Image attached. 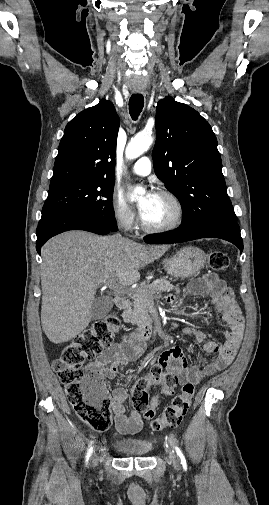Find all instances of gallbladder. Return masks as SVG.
Returning a JSON list of instances; mask_svg holds the SVG:
<instances>
[{"label":"gallbladder","mask_w":269,"mask_h":505,"mask_svg":"<svg viewBox=\"0 0 269 505\" xmlns=\"http://www.w3.org/2000/svg\"><path fill=\"white\" fill-rule=\"evenodd\" d=\"M113 301L110 297L101 296L94 300L91 307L93 320L102 319L111 311Z\"/></svg>","instance_id":"bac80fb5"}]
</instances>
